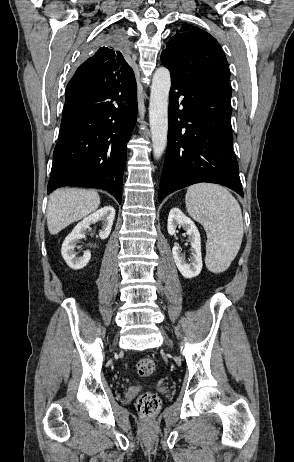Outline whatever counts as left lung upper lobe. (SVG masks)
I'll return each mask as SVG.
<instances>
[{"instance_id": "left-lung-upper-lobe-1", "label": "left lung upper lobe", "mask_w": 294, "mask_h": 462, "mask_svg": "<svg viewBox=\"0 0 294 462\" xmlns=\"http://www.w3.org/2000/svg\"><path fill=\"white\" fill-rule=\"evenodd\" d=\"M161 61L171 78L184 82H226L228 62L217 40L194 26H184L168 41Z\"/></svg>"}]
</instances>
